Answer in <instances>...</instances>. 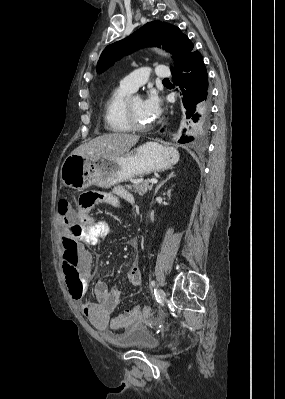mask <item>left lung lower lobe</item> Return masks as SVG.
Masks as SVG:
<instances>
[{"instance_id": "1", "label": "left lung lower lobe", "mask_w": 285, "mask_h": 399, "mask_svg": "<svg viewBox=\"0 0 285 399\" xmlns=\"http://www.w3.org/2000/svg\"><path fill=\"white\" fill-rule=\"evenodd\" d=\"M172 74L174 83L179 84L182 91L186 117L190 120L193 135L182 137L178 142L188 143L203 136L210 113L208 76L202 55L193 49L183 57Z\"/></svg>"}]
</instances>
